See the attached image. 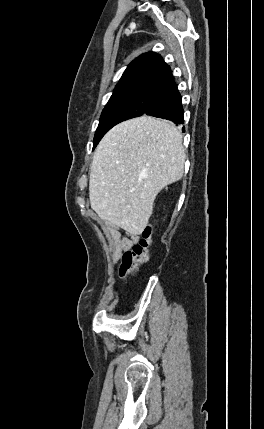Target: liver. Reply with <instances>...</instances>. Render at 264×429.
Masks as SVG:
<instances>
[{
  "label": "liver",
  "instance_id": "obj_1",
  "mask_svg": "<svg viewBox=\"0 0 264 429\" xmlns=\"http://www.w3.org/2000/svg\"><path fill=\"white\" fill-rule=\"evenodd\" d=\"M182 140L177 127L146 115L113 127L94 153L91 208L102 220L140 235L158 193L183 176Z\"/></svg>",
  "mask_w": 264,
  "mask_h": 429
}]
</instances>
